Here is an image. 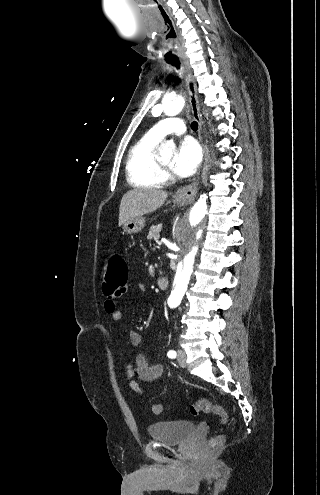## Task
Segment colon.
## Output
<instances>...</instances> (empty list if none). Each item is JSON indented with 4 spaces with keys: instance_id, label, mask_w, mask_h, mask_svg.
<instances>
[{
    "instance_id": "5ec220e1",
    "label": "colon",
    "mask_w": 320,
    "mask_h": 495,
    "mask_svg": "<svg viewBox=\"0 0 320 495\" xmlns=\"http://www.w3.org/2000/svg\"><path fill=\"white\" fill-rule=\"evenodd\" d=\"M128 278V268L125 260L118 254L111 256L104 270V281L103 290L105 293H111L116 291V293H121L123 287L126 284ZM153 412L160 415L164 411V406L161 403H156L152 407ZM190 413L193 416H198L200 414L215 415L219 418L221 423H226L228 421V415L226 411L218 404L211 402L206 398L199 399L195 401L190 406ZM224 442V436L219 434L210 439L209 449L215 450L219 448Z\"/></svg>"
}]
</instances>
